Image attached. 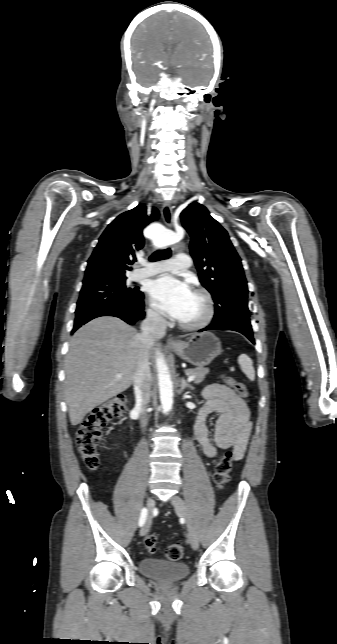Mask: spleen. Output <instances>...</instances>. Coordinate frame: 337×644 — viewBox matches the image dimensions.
<instances>
[{
	"mask_svg": "<svg viewBox=\"0 0 337 644\" xmlns=\"http://www.w3.org/2000/svg\"><path fill=\"white\" fill-rule=\"evenodd\" d=\"M238 364L242 372L247 376L250 381L255 380V370L253 367V362L246 354H241L238 357Z\"/></svg>",
	"mask_w": 337,
	"mask_h": 644,
	"instance_id": "spleen-1",
	"label": "spleen"
}]
</instances>
